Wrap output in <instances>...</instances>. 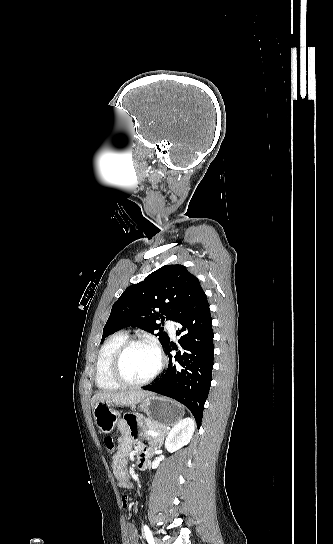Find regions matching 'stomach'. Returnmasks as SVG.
<instances>
[{
	"mask_svg": "<svg viewBox=\"0 0 333 544\" xmlns=\"http://www.w3.org/2000/svg\"><path fill=\"white\" fill-rule=\"evenodd\" d=\"M140 408L152 421L163 426L176 424L184 415V408L181 405L170 399L154 395L141 400ZM93 416L96 426L102 433H111L120 420V414L114 409V403L109 402H96Z\"/></svg>",
	"mask_w": 333,
	"mask_h": 544,
	"instance_id": "1",
	"label": "stomach"
}]
</instances>
